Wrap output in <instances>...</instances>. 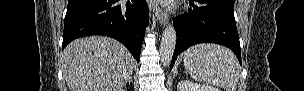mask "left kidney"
<instances>
[{"instance_id":"5707ae66","label":"left kidney","mask_w":304,"mask_h":91,"mask_svg":"<svg viewBox=\"0 0 304 91\" xmlns=\"http://www.w3.org/2000/svg\"><path fill=\"white\" fill-rule=\"evenodd\" d=\"M177 90L178 91H220L218 88H215L213 86L196 84L188 80H183L179 82L177 86Z\"/></svg>"}]
</instances>
